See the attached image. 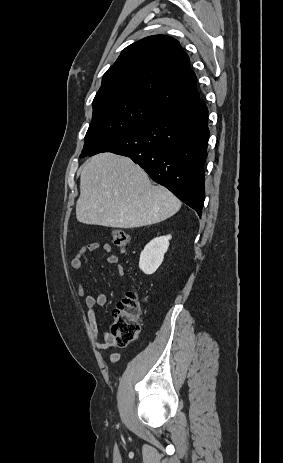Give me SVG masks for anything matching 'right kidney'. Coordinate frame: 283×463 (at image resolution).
<instances>
[{"mask_svg": "<svg viewBox=\"0 0 283 463\" xmlns=\"http://www.w3.org/2000/svg\"><path fill=\"white\" fill-rule=\"evenodd\" d=\"M171 235L151 240L140 254L139 268L147 275L153 274L162 264L169 247Z\"/></svg>", "mask_w": 283, "mask_h": 463, "instance_id": "1", "label": "right kidney"}]
</instances>
